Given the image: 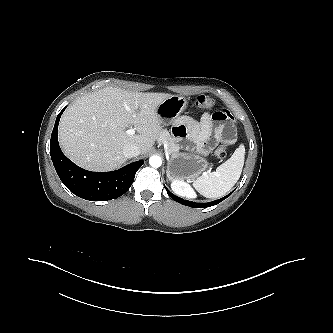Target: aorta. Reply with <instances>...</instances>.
Listing matches in <instances>:
<instances>
[{
	"label": "aorta",
	"instance_id": "aorta-1",
	"mask_svg": "<svg viewBox=\"0 0 333 333\" xmlns=\"http://www.w3.org/2000/svg\"><path fill=\"white\" fill-rule=\"evenodd\" d=\"M149 164H150V166H152L154 168H158L162 164V159L158 155H153L149 158Z\"/></svg>",
	"mask_w": 333,
	"mask_h": 333
}]
</instances>
